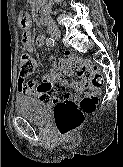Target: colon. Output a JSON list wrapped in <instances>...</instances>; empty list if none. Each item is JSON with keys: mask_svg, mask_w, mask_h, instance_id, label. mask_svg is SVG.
Returning <instances> with one entry per match:
<instances>
[{"mask_svg": "<svg viewBox=\"0 0 123 167\" xmlns=\"http://www.w3.org/2000/svg\"><path fill=\"white\" fill-rule=\"evenodd\" d=\"M36 69L35 59L28 53H23L19 59V74L27 77ZM84 75L90 80L93 86L101 87L104 80L97 67L89 64L83 67ZM97 104L95 96L84 97L79 105L70 101H59L54 110V121L58 133L65 137L77 130L84 122L85 116L91 114Z\"/></svg>", "mask_w": 123, "mask_h": 167, "instance_id": "1", "label": "colon"}]
</instances>
